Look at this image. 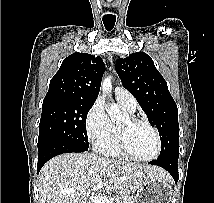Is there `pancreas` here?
Listing matches in <instances>:
<instances>
[{"label":"pancreas","instance_id":"1","mask_svg":"<svg viewBox=\"0 0 214 203\" xmlns=\"http://www.w3.org/2000/svg\"><path fill=\"white\" fill-rule=\"evenodd\" d=\"M116 203H135V202L131 198L121 196L117 198Z\"/></svg>","mask_w":214,"mask_h":203}]
</instances>
